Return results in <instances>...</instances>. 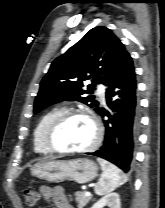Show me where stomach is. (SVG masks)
Listing matches in <instances>:
<instances>
[{"label":"stomach","instance_id":"0dacf381","mask_svg":"<svg viewBox=\"0 0 165 208\" xmlns=\"http://www.w3.org/2000/svg\"><path fill=\"white\" fill-rule=\"evenodd\" d=\"M98 167L90 159L50 160L36 163L31 168V174L37 178L60 182L72 180L79 184L93 181L97 176Z\"/></svg>","mask_w":165,"mask_h":208}]
</instances>
